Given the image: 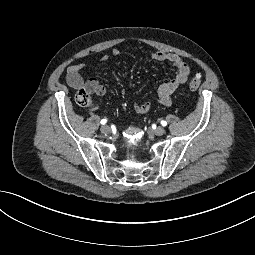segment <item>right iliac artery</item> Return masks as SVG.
<instances>
[{
  "instance_id": "obj_1",
  "label": "right iliac artery",
  "mask_w": 255,
  "mask_h": 255,
  "mask_svg": "<svg viewBox=\"0 0 255 255\" xmlns=\"http://www.w3.org/2000/svg\"><path fill=\"white\" fill-rule=\"evenodd\" d=\"M106 122H107L106 119H102V120H101V124H105Z\"/></svg>"
}]
</instances>
